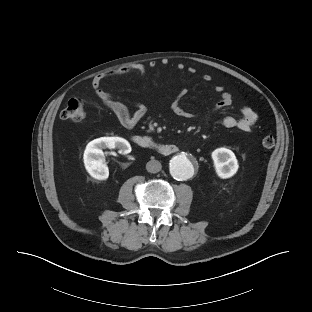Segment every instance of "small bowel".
I'll list each match as a JSON object with an SVG mask.
<instances>
[{
	"label": "small bowel",
	"mask_w": 312,
	"mask_h": 312,
	"mask_svg": "<svg viewBox=\"0 0 312 312\" xmlns=\"http://www.w3.org/2000/svg\"><path fill=\"white\" fill-rule=\"evenodd\" d=\"M157 66L156 62H150L148 67L143 64H132L125 66L119 69H115L103 74H99L94 77L92 80V88L94 89L97 97L100 101L110 109L122 126L127 129L134 128L147 114V107L145 104L136 102L134 103V111H130L128 106L117 99H115L109 92L102 89V83L110 78L120 77L124 75H137L144 76L146 75L148 68L155 69ZM179 69H182V66H178ZM211 77L209 75L203 76L204 82H209ZM215 92L220 95L218 101L215 103L212 110L206 115V118H210L212 115L217 112L229 107L232 104V96L229 92L224 91L223 86H215ZM184 94V91L181 92V95ZM172 111L180 117H187L188 113L180 106L179 99H176L171 105ZM258 120V114L252 108L244 106L241 109V116H225L223 118V125L229 129H239L241 131H251L253 126Z\"/></svg>",
	"instance_id": "c3829d8e"
}]
</instances>
